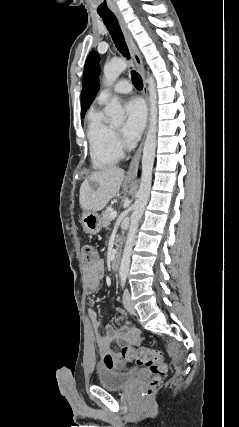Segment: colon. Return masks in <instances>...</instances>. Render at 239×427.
Instances as JSON below:
<instances>
[{
  "label": "colon",
  "instance_id": "5ec220e1",
  "mask_svg": "<svg viewBox=\"0 0 239 427\" xmlns=\"http://www.w3.org/2000/svg\"><path fill=\"white\" fill-rule=\"evenodd\" d=\"M81 252L82 261L85 266H90L97 260L96 251L90 243L83 244ZM120 354L128 361L135 362L137 365L144 366L149 369L152 379L146 394H154L157 386L162 380V377L166 373V366L162 361L160 352L149 347H139L135 349L123 347Z\"/></svg>",
  "mask_w": 239,
  "mask_h": 427
}]
</instances>
